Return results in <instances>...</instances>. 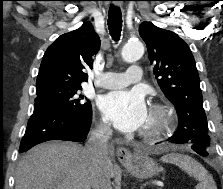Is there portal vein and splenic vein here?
<instances>
[{
	"label": "portal vein and splenic vein",
	"mask_w": 223,
	"mask_h": 189,
	"mask_svg": "<svg viewBox=\"0 0 223 189\" xmlns=\"http://www.w3.org/2000/svg\"><path fill=\"white\" fill-rule=\"evenodd\" d=\"M157 184H159V183H157ZM159 186H160V187H163V184H160Z\"/></svg>",
	"instance_id": "portal-vein-and-splenic-vein-1"
}]
</instances>
